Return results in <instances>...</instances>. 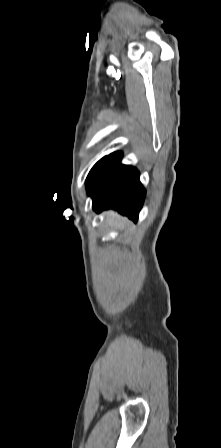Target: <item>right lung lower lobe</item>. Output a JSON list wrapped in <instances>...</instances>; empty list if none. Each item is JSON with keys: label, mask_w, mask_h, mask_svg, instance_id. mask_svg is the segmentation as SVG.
Wrapping results in <instances>:
<instances>
[{"label": "right lung lower lobe", "mask_w": 221, "mask_h": 448, "mask_svg": "<svg viewBox=\"0 0 221 448\" xmlns=\"http://www.w3.org/2000/svg\"><path fill=\"white\" fill-rule=\"evenodd\" d=\"M121 158V152L106 156L87 181V192L93 199L94 211L115 209L137 221L145 190L139 181V172L121 164Z\"/></svg>", "instance_id": "98d812e1"}]
</instances>
